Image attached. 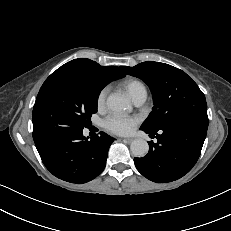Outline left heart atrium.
<instances>
[{"label": "left heart atrium", "mask_w": 231, "mask_h": 231, "mask_svg": "<svg viewBox=\"0 0 231 231\" xmlns=\"http://www.w3.org/2000/svg\"><path fill=\"white\" fill-rule=\"evenodd\" d=\"M136 124V118L119 114L111 115L104 121V126L107 130L119 135L129 134Z\"/></svg>", "instance_id": "1"}]
</instances>
